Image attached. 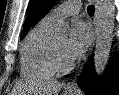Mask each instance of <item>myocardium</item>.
<instances>
[{
    "label": "myocardium",
    "mask_w": 119,
    "mask_h": 95,
    "mask_svg": "<svg viewBox=\"0 0 119 95\" xmlns=\"http://www.w3.org/2000/svg\"><path fill=\"white\" fill-rule=\"evenodd\" d=\"M51 56L53 66L57 71H67L74 66V62L72 60L66 61L61 57L55 40H53Z\"/></svg>",
    "instance_id": "myocardium-1"
}]
</instances>
